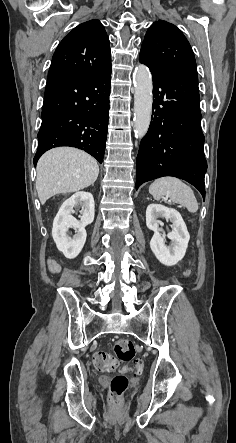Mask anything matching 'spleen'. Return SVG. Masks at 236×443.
<instances>
[{
    "label": "spleen",
    "mask_w": 236,
    "mask_h": 443,
    "mask_svg": "<svg viewBox=\"0 0 236 443\" xmlns=\"http://www.w3.org/2000/svg\"><path fill=\"white\" fill-rule=\"evenodd\" d=\"M149 192L155 200L161 197H169L174 203H178L191 213L198 210V203L193 190L178 178L162 177L156 179L150 186Z\"/></svg>",
    "instance_id": "3e777b00"
}]
</instances>
